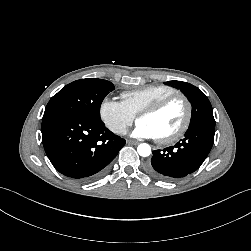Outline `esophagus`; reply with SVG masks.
Returning <instances> with one entry per match:
<instances>
[{
	"instance_id": "34e87169",
	"label": "esophagus",
	"mask_w": 251,
	"mask_h": 251,
	"mask_svg": "<svg viewBox=\"0 0 251 251\" xmlns=\"http://www.w3.org/2000/svg\"><path fill=\"white\" fill-rule=\"evenodd\" d=\"M127 143H128L129 145H137V144H139V142L136 141V140H127Z\"/></svg>"
}]
</instances>
